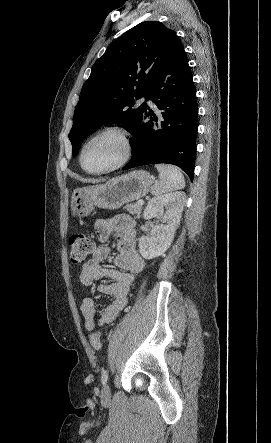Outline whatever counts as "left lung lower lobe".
<instances>
[{"label": "left lung lower lobe", "mask_w": 271, "mask_h": 443, "mask_svg": "<svg viewBox=\"0 0 271 443\" xmlns=\"http://www.w3.org/2000/svg\"><path fill=\"white\" fill-rule=\"evenodd\" d=\"M146 98L156 104L158 116L146 105L130 139L133 156L123 170L167 163L180 167L193 180L198 108L191 69L181 44L154 75ZM147 117L151 121L145 122Z\"/></svg>", "instance_id": "obj_1"}]
</instances>
